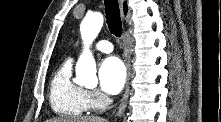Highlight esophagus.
Here are the masks:
<instances>
[{
    "mask_svg": "<svg viewBox=\"0 0 221 122\" xmlns=\"http://www.w3.org/2000/svg\"><path fill=\"white\" fill-rule=\"evenodd\" d=\"M120 4L122 6V1H120ZM122 16L124 17L123 14H122ZM123 44H124L125 64H126V69H127V79H126L124 95H123V97L119 103V107H118V116L122 115V113L124 112V110L127 106L128 97H129V90H130L131 63H130V52H129V49L126 45L125 33L123 35Z\"/></svg>",
    "mask_w": 221,
    "mask_h": 122,
    "instance_id": "1",
    "label": "esophagus"
}]
</instances>
